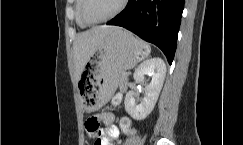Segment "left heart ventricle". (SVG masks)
Wrapping results in <instances>:
<instances>
[{
  "mask_svg": "<svg viewBox=\"0 0 243 145\" xmlns=\"http://www.w3.org/2000/svg\"><path fill=\"white\" fill-rule=\"evenodd\" d=\"M122 0H88L86 15L90 21H98L112 14Z\"/></svg>",
  "mask_w": 243,
  "mask_h": 145,
  "instance_id": "b2bd125f",
  "label": "left heart ventricle"
}]
</instances>
